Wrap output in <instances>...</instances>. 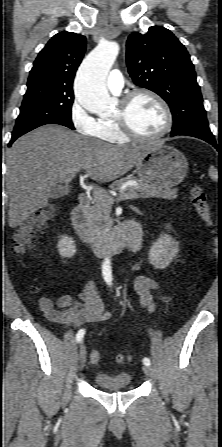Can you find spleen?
<instances>
[{
  "mask_svg": "<svg viewBox=\"0 0 222 447\" xmlns=\"http://www.w3.org/2000/svg\"><path fill=\"white\" fill-rule=\"evenodd\" d=\"M209 175H210V177L213 179V180H215V181H217V179H218V173H217V171H216V169L214 168V167H210V169H209Z\"/></svg>",
  "mask_w": 222,
  "mask_h": 447,
  "instance_id": "spleen-1",
  "label": "spleen"
}]
</instances>
